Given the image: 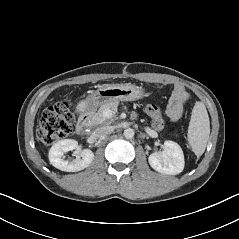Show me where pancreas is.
Segmentation results:
<instances>
[{"mask_svg":"<svg viewBox=\"0 0 239 239\" xmlns=\"http://www.w3.org/2000/svg\"><path fill=\"white\" fill-rule=\"evenodd\" d=\"M118 104L119 103L117 101H115V102H109V103L102 105L99 108L98 112L94 115L93 121L96 123H99V122L111 123L113 119L112 118H104L103 113L105 110H111V112H115L117 110Z\"/></svg>","mask_w":239,"mask_h":239,"instance_id":"obj_1","label":"pancreas"}]
</instances>
